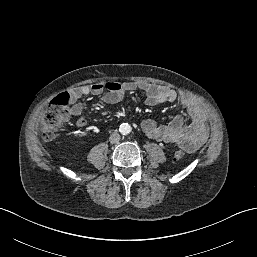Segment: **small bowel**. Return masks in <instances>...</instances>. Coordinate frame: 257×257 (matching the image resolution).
Instances as JSON below:
<instances>
[{"label":"small bowel","mask_w":257,"mask_h":257,"mask_svg":"<svg viewBox=\"0 0 257 257\" xmlns=\"http://www.w3.org/2000/svg\"><path fill=\"white\" fill-rule=\"evenodd\" d=\"M136 90L144 93L145 104L149 106L178 100L191 118V123L188 125L184 124V119L180 115H176L167 124H158L153 119H145L141 127L149 138L177 144L187 151H195L206 142L209 134L207 119L196 101L186 95L178 96L171 88L147 81L101 82L74 88L70 93V114L77 118L78 127H84L86 125L84 106L79 102L83 96H101L104 104L115 105L123 100L126 93Z\"/></svg>","instance_id":"obj_1"}]
</instances>
